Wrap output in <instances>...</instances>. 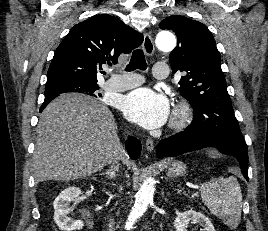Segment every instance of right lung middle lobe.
Masks as SVG:
<instances>
[{
  "label": "right lung middle lobe",
  "instance_id": "1",
  "mask_svg": "<svg viewBox=\"0 0 268 231\" xmlns=\"http://www.w3.org/2000/svg\"><path fill=\"white\" fill-rule=\"evenodd\" d=\"M99 89L98 85H88L83 83L60 81L46 85L45 99H54L62 93H83L90 96H95L94 92ZM51 100V101H52Z\"/></svg>",
  "mask_w": 268,
  "mask_h": 231
}]
</instances>
